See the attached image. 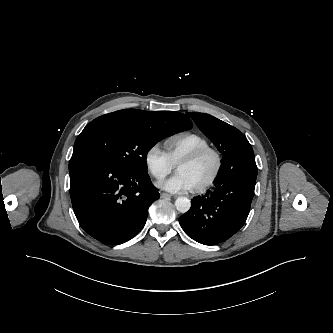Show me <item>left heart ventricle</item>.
I'll return each mask as SVG.
<instances>
[{
	"label": "left heart ventricle",
	"mask_w": 333,
	"mask_h": 333,
	"mask_svg": "<svg viewBox=\"0 0 333 333\" xmlns=\"http://www.w3.org/2000/svg\"><path fill=\"white\" fill-rule=\"evenodd\" d=\"M214 169V159L207 155L193 163H182L177 167V172L185 174L195 187L204 183L211 175Z\"/></svg>",
	"instance_id": "obj_1"
}]
</instances>
